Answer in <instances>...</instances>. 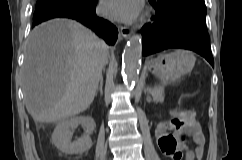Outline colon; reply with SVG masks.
Masks as SVG:
<instances>
[{"label":"colon","mask_w":242,"mask_h":160,"mask_svg":"<svg viewBox=\"0 0 242 160\" xmlns=\"http://www.w3.org/2000/svg\"><path fill=\"white\" fill-rule=\"evenodd\" d=\"M185 112H188V113H190V114L193 115V112H191L190 110H188V111H186V110H182V111L178 112L177 116L174 118L173 121L176 122L178 115L181 114V113H185Z\"/></svg>","instance_id":"1"}]
</instances>
